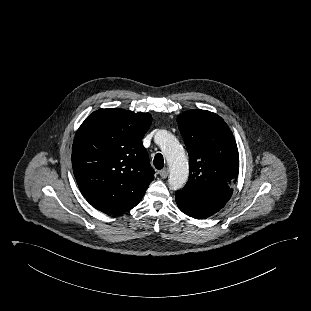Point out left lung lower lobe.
<instances>
[{
    "label": "left lung lower lobe",
    "mask_w": 311,
    "mask_h": 311,
    "mask_svg": "<svg viewBox=\"0 0 311 311\" xmlns=\"http://www.w3.org/2000/svg\"><path fill=\"white\" fill-rule=\"evenodd\" d=\"M176 203L183 213L196 219H205L218 212L226 204L186 188L176 192Z\"/></svg>",
    "instance_id": "left-lung-lower-lobe-1"
}]
</instances>
